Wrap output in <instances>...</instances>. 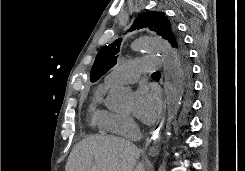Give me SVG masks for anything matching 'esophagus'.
<instances>
[{
	"label": "esophagus",
	"mask_w": 245,
	"mask_h": 171,
	"mask_svg": "<svg viewBox=\"0 0 245 171\" xmlns=\"http://www.w3.org/2000/svg\"><path fill=\"white\" fill-rule=\"evenodd\" d=\"M166 107H167L166 106V100H164L163 106H162V111H161L159 119L155 125V128L153 129L150 136L146 140L145 147H146V149H148L149 154L156 152L155 144L160 137V133H161L164 121H165Z\"/></svg>",
	"instance_id": "34e87169"
}]
</instances>
